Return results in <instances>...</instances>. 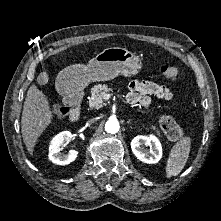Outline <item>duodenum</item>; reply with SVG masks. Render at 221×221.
Returning a JSON list of instances; mask_svg holds the SVG:
<instances>
[{
  "label": "duodenum",
  "mask_w": 221,
  "mask_h": 221,
  "mask_svg": "<svg viewBox=\"0 0 221 221\" xmlns=\"http://www.w3.org/2000/svg\"><path fill=\"white\" fill-rule=\"evenodd\" d=\"M61 92L66 97L67 104L71 108L69 115L70 120L73 122L78 121L82 113L83 92L66 87L61 88Z\"/></svg>",
  "instance_id": "obj_1"
}]
</instances>
